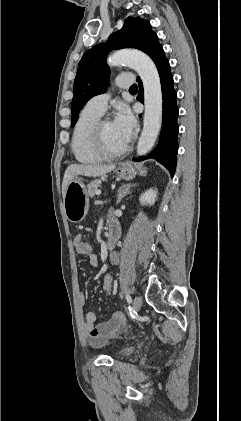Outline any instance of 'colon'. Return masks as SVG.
<instances>
[{
    "label": "colon",
    "instance_id": "colon-1",
    "mask_svg": "<svg viewBox=\"0 0 241 421\" xmlns=\"http://www.w3.org/2000/svg\"><path fill=\"white\" fill-rule=\"evenodd\" d=\"M76 250L78 253L86 255L92 252V245L90 242L83 240L78 244ZM102 289L106 295L110 296L112 294L113 278L109 273L104 274L102 277Z\"/></svg>",
    "mask_w": 241,
    "mask_h": 421
}]
</instances>
